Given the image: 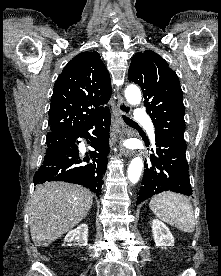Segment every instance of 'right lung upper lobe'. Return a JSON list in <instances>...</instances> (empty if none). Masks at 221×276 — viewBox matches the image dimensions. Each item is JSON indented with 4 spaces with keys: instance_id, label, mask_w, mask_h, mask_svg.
<instances>
[{
    "instance_id": "cb5924a9",
    "label": "right lung upper lobe",
    "mask_w": 221,
    "mask_h": 276,
    "mask_svg": "<svg viewBox=\"0 0 221 276\" xmlns=\"http://www.w3.org/2000/svg\"><path fill=\"white\" fill-rule=\"evenodd\" d=\"M110 97V75L99 53L76 55L55 82L47 136H73L109 109Z\"/></svg>"
}]
</instances>
